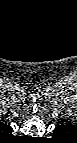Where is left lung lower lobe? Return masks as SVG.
<instances>
[{"label":"left lung lower lobe","instance_id":"1","mask_svg":"<svg viewBox=\"0 0 77 143\" xmlns=\"http://www.w3.org/2000/svg\"><path fill=\"white\" fill-rule=\"evenodd\" d=\"M54 136H55V137H59L60 134H59L57 131H54Z\"/></svg>","mask_w":77,"mask_h":143}]
</instances>
